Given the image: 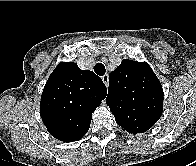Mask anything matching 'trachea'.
<instances>
[{
	"label": "trachea",
	"instance_id": "trachea-1",
	"mask_svg": "<svg viewBox=\"0 0 196 166\" xmlns=\"http://www.w3.org/2000/svg\"><path fill=\"white\" fill-rule=\"evenodd\" d=\"M94 71L97 75L103 76L106 72L105 66L102 63H97L94 66Z\"/></svg>",
	"mask_w": 196,
	"mask_h": 166
}]
</instances>
